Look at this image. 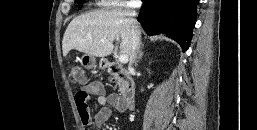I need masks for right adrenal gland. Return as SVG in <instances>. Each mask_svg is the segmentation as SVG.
Segmentation results:
<instances>
[{
    "label": "right adrenal gland",
    "instance_id": "obj_1",
    "mask_svg": "<svg viewBox=\"0 0 257 130\" xmlns=\"http://www.w3.org/2000/svg\"><path fill=\"white\" fill-rule=\"evenodd\" d=\"M142 56H143V52L141 51V46H139L137 53H136V57L134 59L135 66L137 65L138 61L142 58Z\"/></svg>",
    "mask_w": 257,
    "mask_h": 130
}]
</instances>
